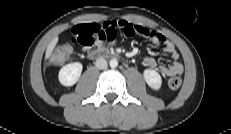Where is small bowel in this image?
<instances>
[{
  "instance_id": "1",
  "label": "small bowel",
  "mask_w": 231,
  "mask_h": 134,
  "mask_svg": "<svg viewBox=\"0 0 231 134\" xmlns=\"http://www.w3.org/2000/svg\"><path fill=\"white\" fill-rule=\"evenodd\" d=\"M118 30H122L126 36L139 35L154 44L162 45L164 51L170 55L172 63L167 66H160V72L165 76L182 74L183 65L180 61L179 53L170 39L159 32L126 20L106 21L102 24L85 23L75 25L71 29V42L73 44H81L84 51L87 52L92 48H100L105 43L112 44L115 41ZM144 63L150 68L158 66L156 60L152 57H146Z\"/></svg>"
}]
</instances>
